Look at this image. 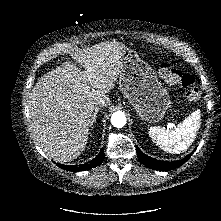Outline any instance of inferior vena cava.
<instances>
[{"instance_id":"obj_1","label":"inferior vena cava","mask_w":221,"mask_h":221,"mask_svg":"<svg viewBox=\"0 0 221 221\" xmlns=\"http://www.w3.org/2000/svg\"><path fill=\"white\" fill-rule=\"evenodd\" d=\"M94 103H95L96 105H99V106L104 107V106H107V105L110 103V99H109V97L106 96V95L97 96V97L95 98Z\"/></svg>"}]
</instances>
